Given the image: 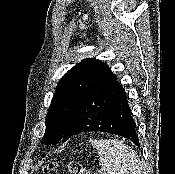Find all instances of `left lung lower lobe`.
Here are the masks:
<instances>
[{
    "instance_id": "0a47b994",
    "label": "left lung lower lobe",
    "mask_w": 175,
    "mask_h": 174,
    "mask_svg": "<svg viewBox=\"0 0 175 174\" xmlns=\"http://www.w3.org/2000/svg\"><path fill=\"white\" fill-rule=\"evenodd\" d=\"M135 129L126 92L112 74L78 102L63 141L78 133L101 131L123 136L140 147Z\"/></svg>"
}]
</instances>
